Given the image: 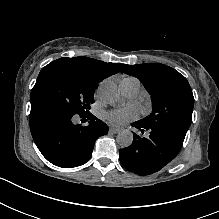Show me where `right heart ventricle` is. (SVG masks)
Segmentation results:
<instances>
[{
    "instance_id": "obj_1",
    "label": "right heart ventricle",
    "mask_w": 219,
    "mask_h": 219,
    "mask_svg": "<svg viewBox=\"0 0 219 219\" xmlns=\"http://www.w3.org/2000/svg\"><path fill=\"white\" fill-rule=\"evenodd\" d=\"M121 85H124V86L139 85V87H140V83H139L138 79L135 77H131V76H124L120 82V86Z\"/></svg>"
}]
</instances>
